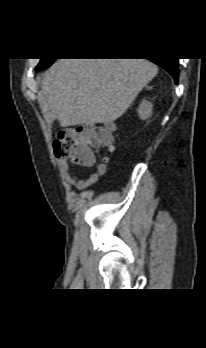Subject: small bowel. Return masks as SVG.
I'll list each match as a JSON object with an SVG mask.
<instances>
[{
    "label": "small bowel",
    "mask_w": 206,
    "mask_h": 348,
    "mask_svg": "<svg viewBox=\"0 0 206 348\" xmlns=\"http://www.w3.org/2000/svg\"><path fill=\"white\" fill-rule=\"evenodd\" d=\"M94 163L88 166H92L94 165ZM59 164L63 170V174L67 182L79 190L85 189L89 186L96 184L99 181V179L106 173V165L104 162L96 164L94 172L85 179L71 174L69 164L65 160H60Z\"/></svg>",
    "instance_id": "c3829d8e"
}]
</instances>
